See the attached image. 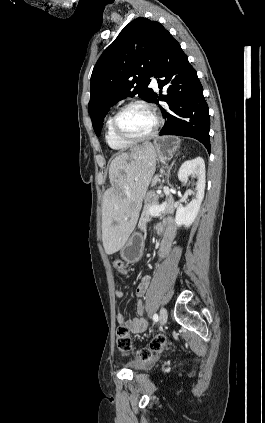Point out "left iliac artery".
Segmentation results:
<instances>
[{
  "label": "left iliac artery",
  "mask_w": 265,
  "mask_h": 423,
  "mask_svg": "<svg viewBox=\"0 0 265 423\" xmlns=\"http://www.w3.org/2000/svg\"><path fill=\"white\" fill-rule=\"evenodd\" d=\"M153 321H154V322H157V321H158V315H157V314H154V315H153Z\"/></svg>",
  "instance_id": "obj_1"
}]
</instances>
